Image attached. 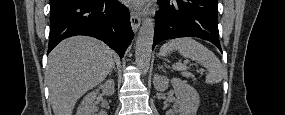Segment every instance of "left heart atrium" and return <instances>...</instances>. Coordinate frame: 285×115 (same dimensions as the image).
Instances as JSON below:
<instances>
[{
  "label": "left heart atrium",
  "instance_id": "obj_1",
  "mask_svg": "<svg viewBox=\"0 0 285 115\" xmlns=\"http://www.w3.org/2000/svg\"><path fill=\"white\" fill-rule=\"evenodd\" d=\"M131 6L140 9L143 6L144 1L143 0H130L128 1Z\"/></svg>",
  "mask_w": 285,
  "mask_h": 115
}]
</instances>
